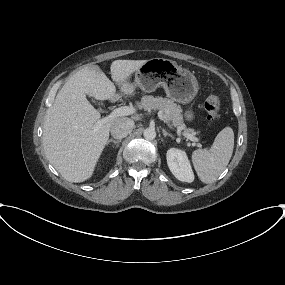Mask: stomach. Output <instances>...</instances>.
<instances>
[{"instance_id": "stomach-1", "label": "stomach", "mask_w": 285, "mask_h": 285, "mask_svg": "<svg viewBox=\"0 0 285 285\" xmlns=\"http://www.w3.org/2000/svg\"><path fill=\"white\" fill-rule=\"evenodd\" d=\"M132 84L147 93L162 86L169 98L181 104H189L199 90L193 73L178 66L175 61L165 58L146 60L136 70L135 81ZM184 118L188 122L195 119V112L191 107L185 111Z\"/></svg>"}]
</instances>
